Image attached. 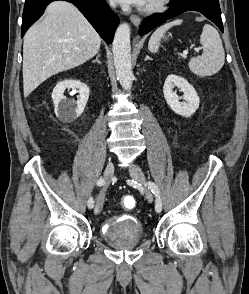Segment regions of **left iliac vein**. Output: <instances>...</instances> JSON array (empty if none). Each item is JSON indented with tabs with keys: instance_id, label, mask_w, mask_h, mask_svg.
Segmentation results:
<instances>
[{
	"instance_id": "1",
	"label": "left iliac vein",
	"mask_w": 249,
	"mask_h": 294,
	"mask_svg": "<svg viewBox=\"0 0 249 294\" xmlns=\"http://www.w3.org/2000/svg\"><path fill=\"white\" fill-rule=\"evenodd\" d=\"M129 173L132 179L140 182V183H145V176L144 173L142 171V169L138 166V165H133L130 169H129ZM145 195L146 198L149 202L153 201V194L152 191L149 188H145Z\"/></svg>"
}]
</instances>
